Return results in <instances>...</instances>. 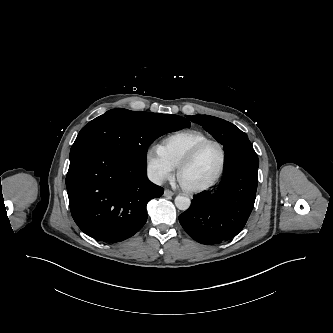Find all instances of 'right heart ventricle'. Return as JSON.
Instances as JSON below:
<instances>
[{"mask_svg": "<svg viewBox=\"0 0 333 333\" xmlns=\"http://www.w3.org/2000/svg\"><path fill=\"white\" fill-rule=\"evenodd\" d=\"M209 137L198 130H184L163 139L159 145L162 154L178 167L182 159L200 142Z\"/></svg>", "mask_w": 333, "mask_h": 333, "instance_id": "e07e8e85", "label": "right heart ventricle"}]
</instances>
